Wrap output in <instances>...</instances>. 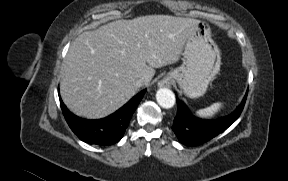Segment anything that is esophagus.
Masks as SVG:
<instances>
[{"label": "esophagus", "mask_w": 288, "mask_h": 181, "mask_svg": "<svg viewBox=\"0 0 288 181\" xmlns=\"http://www.w3.org/2000/svg\"><path fill=\"white\" fill-rule=\"evenodd\" d=\"M159 85L163 86V87H168V86H170V83L167 80H164V81L160 82Z\"/></svg>", "instance_id": "obj_1"}]
</instances>
